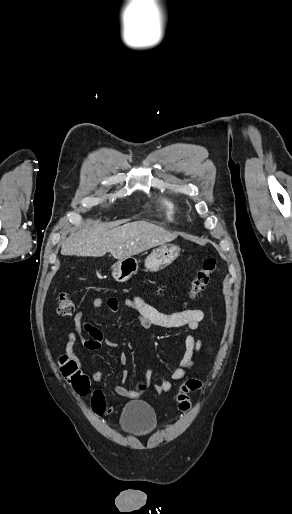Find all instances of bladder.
Here are the masks:
<instances>
[{
    "label": "bladder",
    "instance_id": "31cf9c89",
    "mask_svg": "<svg viewBox=\"0 0 292 514\" xmlns=\"http://www.w3.org/2000/svg\"><path fill=\"white\" fill-rule=\"evenodd\" d=\"M156 426L154 409L143 401L129 402L120 416V428L126 434L142 436L153 431Z\"/></svg>",
    "mask_w": 292,
    "mask_h": 514
}]
</instances>
